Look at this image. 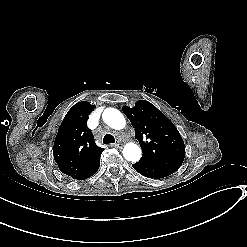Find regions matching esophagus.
Segmentation results:
<instances>
[{
  "label": "esophagus",
  "mask_w": 247,
  "mask_h": 247,
  "mask_svg": "<svg viewBox=\"0 0 247 247\" xmlns=\"http://www.w3.org/2000/svg\"><path fill=\"white\" fill-rule=\"evenodd\" d=\"M113 146L116 147V148H122L123 147V144L122 143H117V144H115Z\"/></svg>",
  "instance_id": "1"
}]
</instances>
